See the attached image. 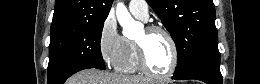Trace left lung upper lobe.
I'll list each match as a JSON object with an SVG mask.
<instances>
[{
    "mask_svg": "<svg viewBox=\"0 0 260 84\" xmlns=\"http://www.w3.org/2000/svg\"><path fill=\"white\" fill-rule=\"evenodd\" d=\"M171 34L177 47L174 75L198 61L220 56L212 0H147Z\"/></svg>",
    "mask_w": 260,
    "mask_h": 84,
    "instance_id": "obj_1",
    "label": "left lung upper lobe"
}]
</instances>
